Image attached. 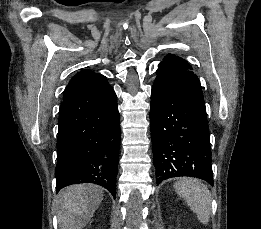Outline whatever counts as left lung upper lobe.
I'll use <instances>...</instances> for the list:
<instances>
[{
    "instance_id": "5c2ea615",
    "label": "left lung upper lobe",
    "mask_w": 261,
    "mask_h": 229,
    "mask_svg": "<svg viewBox=\"0 0 261 229\" xmlns=\"http://www.w3.org/2000/svg\"><path fill=\"white\" fill-rule=\"evenodd\" d=\"M161 63H165L167 65L174 66V67L192 69L191 65L187 61H185L181 57L172 54H167Z\"/></svg>"
}]
</instances>
